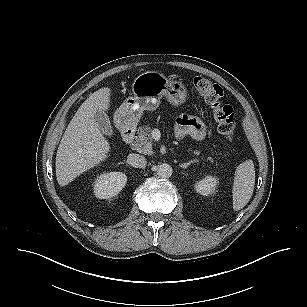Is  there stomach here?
Instances as JSON below:
<instances>
[{"mask_svg": "<svg viewBox=\"0 0 307 307\" xmlns=\"http://www.w3.org/2000/svg\"><path fill=\"white\" fill-rule=\"evenodd\" d=\"M133 96H129L114 113L119 129L136 127L144 110H156L163 96L173 106H180L187 99V88L180 81L166 78L157 71H147L135 78Z\"/></svg>", "mask_w": 307, "mask_h": 307, "instance_id": "stomach-1", "label": "stomach"}]
</instances>
